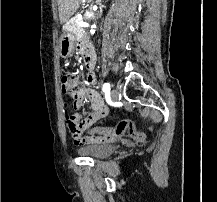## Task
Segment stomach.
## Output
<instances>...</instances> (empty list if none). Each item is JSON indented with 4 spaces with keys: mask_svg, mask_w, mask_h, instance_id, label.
Masks as SVG:
<instances>
[{
    "mask_svg": "<svg viewBox=\"0 0 217 202\" xmlns=\"http://www.w3.org/2000/svg\"><path fill=\"white\" fill-rule=\"evenodd\" d=\"M76 38L71 32H63L60 38L59 54L61 58H70L74 52Z\"/></svg>",
    "mask_w": 217,
    "mask_h": 202,
    "instance_id": "1",
    "label": "stomach"
}]
</instances>
